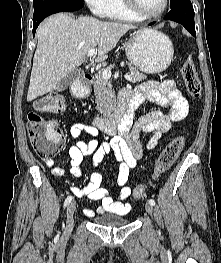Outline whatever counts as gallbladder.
Here are the masks:
<instances>
[{
  "label": "gallbladder",
  "instance_id": "obj_1",
  "mask_svg": "<svg viewBox=\"0 0 221 263\" xmlns=\"http://www.w3.org/2000/svg\"><path fill=\"white\" fill-rule=\"evenodd\" d=\"M81 74L82 71L80 69H76L73 72L69 73L57 85L56 91H64L65 89H67Z\"/></svg>",
  "mask_w": 221,
  "mask_h": 263
}]
</instances>
